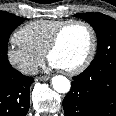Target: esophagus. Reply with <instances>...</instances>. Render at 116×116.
Here are the masks:
<instances>
[{"instance_id":"obj_1","label":"esophagus","mask_w":116,"mask_h":116,"mask_svg":"<svg viewBox=\"0 0 116 116\" xmlns=\"http://www.w3.org/2000/svg\"><path fill=\"white\" fill-rule=\"evenodd\" d=\"M50 78V76L48 75H44V76H41V77H37L36 80H40V81H47L48 79Z\"/></svg>"}]
</instances>
